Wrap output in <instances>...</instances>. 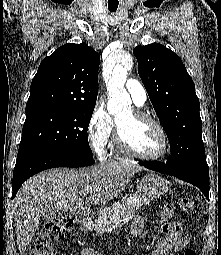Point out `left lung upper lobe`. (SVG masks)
<instances>
[{
  "instance_id": "obj_1",
  "label": "left lung upper lobe",
  "mask_w": 221,
  "mask_h": 255,
  "mask_svg": "<svg viewBox=\"0 0 221 255\" xmlns=\"http://www.w3.org/2000/svg\"><path fill=\"white\" fill-rule=\"evenodd\" d=\"M138 73L169 139L167 165L181 168L205 162L200 103L181 59L165 46H137Z\"/></svg>"
}]
</instances>
